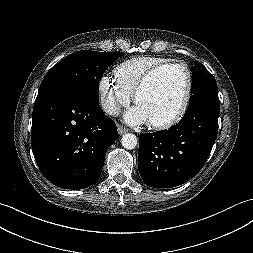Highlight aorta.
Here are the masks:
<instances>
[{
	"label": "aorta",
	"instance_id": "obj_1",
	"mask_svg": "<svg viewBox=\"0 0 253 253\" xmlns=\"http://www.w3.org/2000/svg\"><path fill=\"white\" fill-rule=\"evenodd\" d=\"M122 146L125 149L131 150L137 146L138 140L137 137L132 133H127L123 135L121 139Z\"/></svg>",
	"mask_w": 253,
	"mask_h": 253
}]
</instances>
